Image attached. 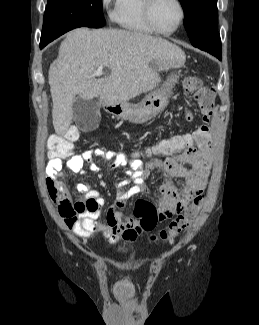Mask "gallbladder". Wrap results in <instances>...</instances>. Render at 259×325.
<instances>
[{
  "label": "gallbladder",
  "mask_w": 259,
  "mask_h": 325,
  "mask_svg": "<svg viewBox=\"0 0 259 325\" xmlns=\"http://www.w3.org/2000/svg\"><path fill=\"white\" fill-rule=\"evenodd\" d=\"M72 111L77 123L84 130L95 129L100 123L99 105L94 98L85 100L77 96Z\"/></svg>",
  "instance_id": "bac80fb5"
}]
</instances>
